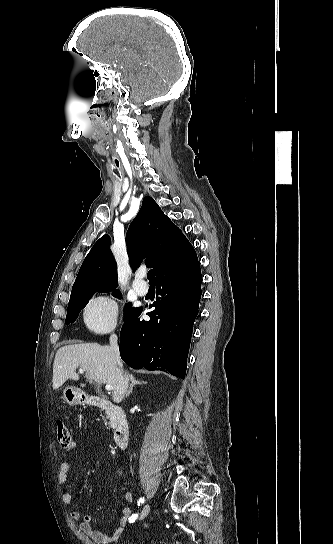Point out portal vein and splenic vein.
<instances>
[{"instance_id":"1","label":"portal vein and splenic vein","mask_w":333,"mask_h":544,"mask_svg":"<svg viewBox=\"0 0 333 544\" xmlns=\"http://www.w3.org/2000/svg\"><path fill=\"white\" fill-rule=\"evenodd\" d=\"M80 372H84V369H83V368H80ZM105 389H106L107 391H112V390H113V387H112V385L107 384V385L105 386Z\"/></svg>"}]
</instances>
